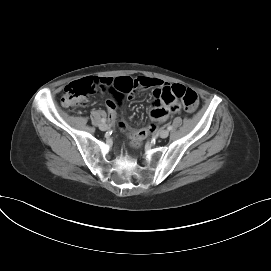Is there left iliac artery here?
<instances>
[{"label":"left iliac artery","instance_id":"44dca946","mask_svg":"<svg viewBox=\"0 0 271 271\" xmlns=\"http://www.w3.org/2000/svg\"><path fill=\"white\" fill-rule=\"evenodd\" d=\"M167 129H168L169 131L172 130V126L169 125V126L167 127Z\"/></svg>","mask_w":271,"mask_h":271}]
</instances>
